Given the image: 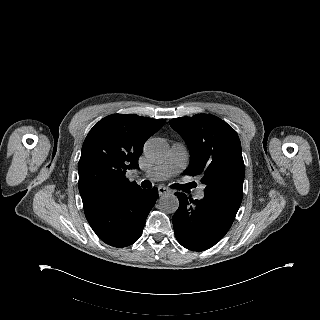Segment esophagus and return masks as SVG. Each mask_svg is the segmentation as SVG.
Masks as SVG:
<instances>
[{"label":"esophagus","instance_id":"obj_1","mask_svg":"<svg viewBox=\"0 0 320 320\" xmlns=\"http://www.w3.org/2000/svg\"><path fill=\"white\" fill-rule=\"evenodd\" d=\"M170 190L167 187L160 186L158 187L159 196L169 193Z\"/></svg>","mask_w":320,"mask_h":320}]
</instances>
